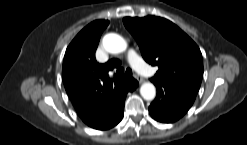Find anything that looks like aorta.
<instances>
[{
	"mask_svg": "<svg viewBox=\"0 0 247 145\" xmlns=\"http://www.w3.org/2000/svg\"><path fill=\"white\" fill-rule=\"evenodd\" d=\"M102 43L105 50L112 54L121 53L127 48L125 39L115 33L106 34ZM140 94L145 100H153L156 96V88L150 82L143 83L140 88Z\"/></svg>",
	"mask_w": 247,
	"mask_h": 145,
	"instance_id": "1",
	"label": "aorta"
}]
</instances>
